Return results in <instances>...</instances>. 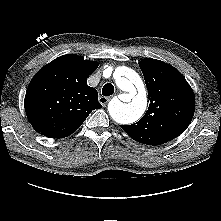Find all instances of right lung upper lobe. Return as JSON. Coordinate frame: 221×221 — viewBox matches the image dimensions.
Returning a JSON list of instances; mask_svg holds the SVG:
<instances>
[{
  "mask_svg": "<svg viewBox=\"0 0 221 221\" xmlns=\"http://www.w3.org/2000/svg\"><path fill=\"white\" fill-rule=\"evenodd\" d=\"M98 63L75 54L60 56L31 80L25 95V111L32 127L49 138L75 132L90 112L102 108L97 90L87 85Z\"/></svg>",
  "mask_w": 221,
  "mask_h": 221,
  "instance_id": "right-lung-upper-lobe-1",
  "label": "right lung upper lobe"
}]
</instances>
